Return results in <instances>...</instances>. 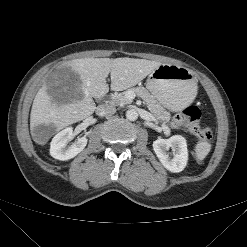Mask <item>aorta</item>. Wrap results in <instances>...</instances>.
I'll return each instance as SVG.
<instances>
[{
  "label": "aorta",
  "mask_w": 247,
  "mask_h": 247,
  "mask_svg": "<svg viewBox=\"0 0 247 247\" xmlns=\"http://www.w3.org/2000/svg\"><path fill=\"white\" fill-rule=\"evenodd\" d=\"M126 118L130 121H135L138 118V112L136 109H129L126 111Z\"/></svg>",
  "instance_id": "762f6f07"
}]
</instances>
